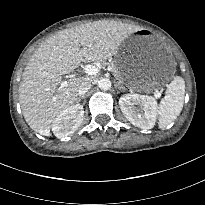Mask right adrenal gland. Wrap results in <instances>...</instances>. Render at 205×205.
Returning a JSON list of instances; mask_svg holds the SVG:
<instances>
[{"label":"right adrenal gland","instance_id":"1","mask_svg":"<svg viewBox=\"0 0 205 205\" xmlns=\"http://www.w3.org/2000/svg\"><path fill=\"white\" fill-rule=\"evenodd\" d=\"M81 99H83V97L78 98V101H80Z\"/></svg>","mask_w":205,"mask_h":205}]
</instances>
